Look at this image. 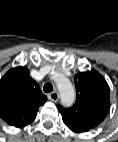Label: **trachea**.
Wrapping results in <instances>:
<instances>
[{"label": "trachea", "instance_id": "3493384b", "mask_svg": "<svg viewBox=\"0 0 118 142\" xmlns=\"http://www.w3.org/2000/svg\"><path fill=\"white\" fill-rule=\"evenodd\" d=\"M44 92L49 93L53 91V86L50 83H46L43 87Z\"/></svg>", "mask_w": 118, "mask_h": 142}]
</instances>
